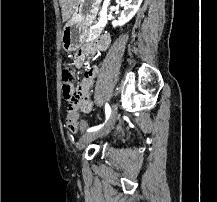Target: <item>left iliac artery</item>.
I'll list each match as a JSON object with an SVG mask.
<instances>
[{"instance_id": "left-iliac-artery-1", "label": "left iliac artery", "mask_w": 217, "mask_h": 202, "mask_svg": "<svg viewBox=\"0 0 217 202\" xmlns=\"http://www.w3.org/2000/svg\"><path fill=\"white\" fill-rule=\"evenodd\" d=\"M105 114H106V120H105V123H106V121L109 119L110 114H111V108H110L108 103L105 104ZM103 126H104V124H101V125L95 126V127H91L87 130V132L97 131L100 128H102Z\"/></svg>"}]
</instances>
